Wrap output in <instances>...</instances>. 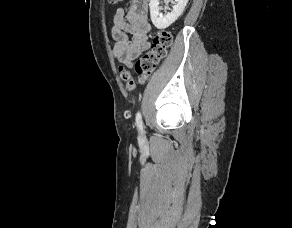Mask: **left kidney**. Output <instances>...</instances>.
<instances>
[{"mask_svg": "<svg viewBox=\"0 0 292 228\" xmlns=\"http://www.w3.org/2000/svg\"><path fill=\"white\" fill-rule=\"evenodd\" d=\"M167 2L172 0H165ZM176 4L173 6L171 12H167L165 15L160 13L159 0H150V16L153 25L158 29H165L174 23L178 17L183 13L188 0H175Z\"/></svg>", "mask_w": 292, "mask_h": 228, "instance_id": "5707ae66", "label": "left kidney"}]
</instances>
